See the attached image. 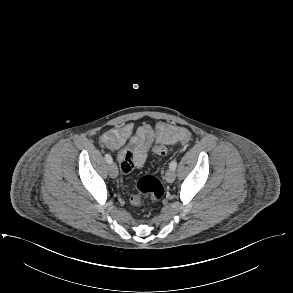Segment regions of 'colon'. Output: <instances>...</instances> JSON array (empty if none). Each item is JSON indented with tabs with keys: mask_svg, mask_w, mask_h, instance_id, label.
Listing matches in <instances>:
<instances>
[{
	"mask_svg": "<svg viewBox=\"0 0 293 293\" xmlns=\"http://www.w3.org/2000/svg\"><path fill=\"white\" fill-rule=\"evenodd\" d=\"M153 151L158 155H167L170 152V147L166 144H156L153 146ZM138 194L130 197L132 205H140L143 197H148L152 203L159 202L164 194L165 187L161 181L152 176L144 175L137 182Z\"/></svg>",
	"mask_w": 293,
	"mask_h": 293,
	"instance_id": "obj_1",
	"label": "colon"
}]
</instances>
